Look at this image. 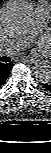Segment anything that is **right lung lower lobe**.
<instances>
[{
    "mask_svg": "<svg viewBox=\"0 0 51 153\" xmlns=\"http://www.w3.org/2000/svg\"><path fill=\"white\" fill-rule=\"evenodd\" d=\"M12 67V63H0V87L5 83V80L7 79Z\"/></svg>",
    "mask_w": 51,
    "mask_h": 153,
    "instance_id": "obj_1",
    "label": "right lung lower lobe"
}]
</instances>
